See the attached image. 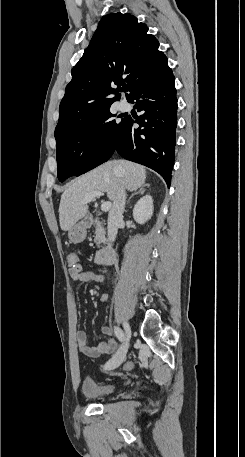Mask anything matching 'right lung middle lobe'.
<instances>
[{"mask_svg":"<svg viewBox=\"0 0 245 457\" xmlns=\"http://www.w3.org/2000/svg\"><path fill=\"white\" fill-rule=\"evenodd\" d=\"M109 108L110 106L55 129L59 181L73 175L79 176L112 156L122 121L117 123L113 119L116 115Z\"/></svg>","mask_w":245,"mask_h":457,"instance_id":"1","label":"right lung middle lobe"}]
</instances>
